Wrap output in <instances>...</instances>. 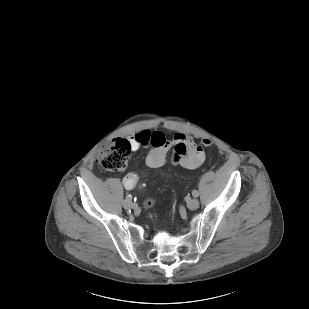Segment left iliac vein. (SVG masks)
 <instances>
[{"label": "left iliac vein", "mask_w": 309, "mask_h": 309, "mask_svg": "<svg viewBox=\"0 0 309 309\" xmlns=\"http://www.w3.org/2000/svg\"><path fill=\"white\" fill-rule=\"evenodd\" d=\"M200 205V202L198 199L194 198V199H190L188 202H187V207L190 209V210H195L199 207Z\"/></svg>", "instance_id": "left-iliac-vein-1"}]
</instances>
